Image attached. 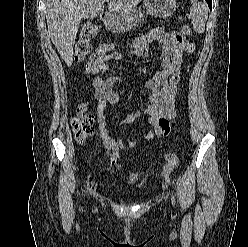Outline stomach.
Instances as JSON below:
<instances>
[{
    "instance_id": "1",
    "label": "stomach",
    "mask_w": 248,
    "mask_h": 247,
    "mask_svg": "<svg viewBox=\"0 0 248 247\" xmlns=\"http://www.w3.org/2000/svg\"><path fill=\"white\" fill-rule=\"evenodd\" d=\"M148 11L158 17H168L176 10L175 0H144ZM144 22L143 15L134 11L128 15L111 17L106 22V27L116 33L129 31L133 26H138L139 23Z\"/></svg>"
}]
</instances>
